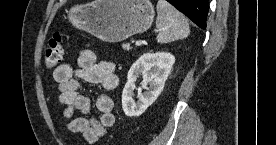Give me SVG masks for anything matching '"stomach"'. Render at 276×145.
Listing matches in <instances>:
<instances>
[{"label": "stomach", "mask_w": 276, "mask_h": 145, "mask_svg": "<svg viewBox=\"0 0 276 145\" xmlns=\"http://www.w3.org/2000/svg\"><path fill=\"white\" fill-rule=\"evenodd\" d=\"M66 13L73 26L110 43L146 31L155 14L150 0H94Z\"/></svg>", "instance_id": "1"}]
</instances>
